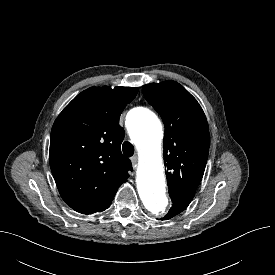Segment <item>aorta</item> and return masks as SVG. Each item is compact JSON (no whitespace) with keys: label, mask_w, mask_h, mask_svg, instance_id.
Listing matches in <instances>:
<instances>
[{"label":"aorta","mask_w":275,"mask_h":275,"mask_svg":"<svg viewBox=\"0 0 275 275\" xmlns=\"http://www.w3.org/2000/svg\"><path fill=\"white\" fill-rule=\"evenodd\" d=\"M129 133L140 155L137 189L143 205L152 217H162L169 201L165 192L164 165L161 157L162 125L146 108L130 111Z\"/></svg>","instance_id":"1"}]
</instances>
